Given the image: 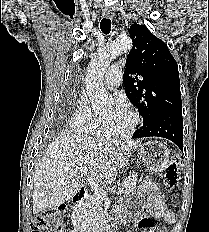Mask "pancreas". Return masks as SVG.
<instances>
[{"mask_svg": "<svg viewBox=\"0 0 209 232\" xmlns=\"http://www.w3.org/2000/svg\"><path fill=\"white\" fill-rule=\"evenodd\" d=\"M137 179V173H132L118 184L124 188L125 194H129L134 191ZM101 202L96 195L90 196L86 203L74 209L73 219L81 225L95 230L102 215Z\"/></svg>", "mask_w": 209, "mask_h": 232, "instance_id": "obj_1", "label": "pancreas"}]
</instances>
